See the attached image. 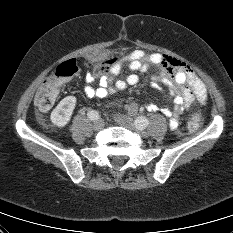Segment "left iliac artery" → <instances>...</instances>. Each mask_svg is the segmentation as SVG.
<instances>
[{
	"label": "left iliac artery",
	"mask_w": 233,
	"mask_h": 233,
	"mask_svg": "<svg viewBox=\"0 0 233 233\" xmlns=\"http://www.w3.org/2000/svg\"><path fill=\"white\" fill-rule=\"evenodd\" d=\"M135 123L138 127L145 129L149 125V120L141 116L135 120Z\"/></svg>",
	"instance_id": "left-iliac-artery-1"
}]
</instances>
